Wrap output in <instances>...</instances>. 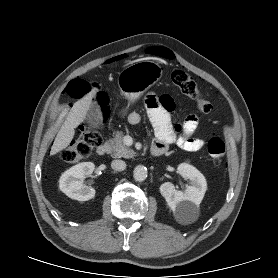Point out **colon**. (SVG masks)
<instances>
[{
	"label": "colon",
	"mask_w": 278,
	"mask_h": 278,
	"mask_svg": "<svg viewBox=\"0 0 278 278\" xmlns=\"http://www.w3.org/2000/svg\"><path fill=\"white\" fill-rule=\"evenodd\" d=\"M171 81L182 93L194 101L200 112L209 113L212 110V103L204 96L197 83L186 72L179 69L172 71ZM92 88L93 85L90 82L78 78L68 84L66 92L70 97L79 99L89 93ZM98 97L101 99L100 94ZM100 141L97 130L85 127L80 132L79 137L61 152V157L69 163L77 162L88 157ZM207 149L214 164L221 165L226 154L223 140L218 137L211 138Z\"/></svg>",
	"instance_id": "1"
}]
</instances>
